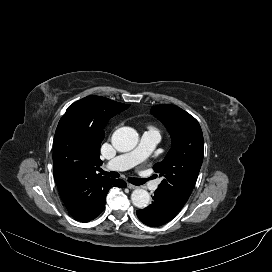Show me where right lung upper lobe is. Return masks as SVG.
Masks as SVG:
<instances>
[{
	"label": "right lung upper lobe",
	"instance_id": "cb5924a9",
	"mask_svg": "<svg viewBox=\"0 0 272 272\" xmlns=\"http://www.w3.org/2000/svg\"><path fill=\"white\" fill-rule=\"evenodd\" d=\"M130 105L101 96L73 103L60 119L53 148V174L70 214L84 222L97 210L112 179L96 173L108 120Z\"/></svg>",
	"mask_w": 272,
	"mask_h": 272
}]
</instances>
